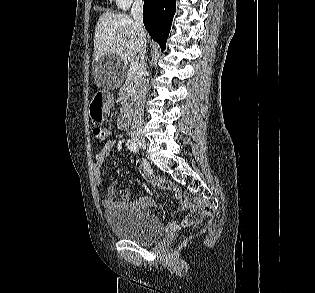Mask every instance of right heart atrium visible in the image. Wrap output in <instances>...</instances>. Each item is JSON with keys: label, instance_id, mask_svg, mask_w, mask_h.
<instances>
[{"label": "right heart atrium", "instance_id": "obj_1", "mask_svg": "<svg viewBox=\"0 0 315 293\" xmlns=\"http://www.w3.org/2000/svg\"><path fill=\"white\" fill-rule=\"evenodd\" d=\"M117 7L122 9V10H127L134 1H139V0H114Z\"/></svg>", "mask_w": 315, "mask_h": 293}]
</instances>
